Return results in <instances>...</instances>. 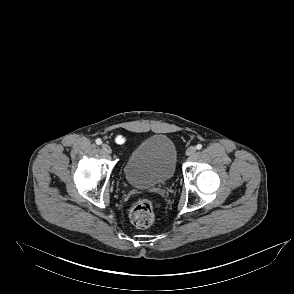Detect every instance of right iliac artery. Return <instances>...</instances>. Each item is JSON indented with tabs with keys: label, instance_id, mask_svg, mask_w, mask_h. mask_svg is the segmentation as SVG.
<instances>
[{
	"label": "right iliac artery",
	"instance_id": "obj_1",
	"mask_svg": "<svg viewBox=\"0 0 294 294\" xmlns=\"http://www.w3.org/2000/svg\"><path fill=\"white\" fill-rule=\"evenodd\" d=\"M101 143H102L101 139H99V138L96 139V144H97V145H100Z\"/></svg>",
	"mask_w": 294,
	"mask_h": 294
}]
</instances>
